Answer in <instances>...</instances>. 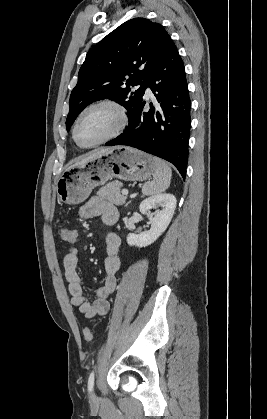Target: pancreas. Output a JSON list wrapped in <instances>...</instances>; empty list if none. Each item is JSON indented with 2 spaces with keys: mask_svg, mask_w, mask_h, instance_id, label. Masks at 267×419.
<instances>
[{
  "mask_svg": "<svg viewBox=\"0 0 267 419\" xmlns=\"http://www.w3.org/2000/svg\"><path fill=\"white\" fill-rule=\"evenodd\" d=\"M121 183L119 181H112L101 187L97 191V195L101 198L107 199L111 203L121 206L126 202V196L121 194Z\"/></svg>",
  "mask_w": 267,
  "mask_h": 419,
  "instance_id": "pancreas-1",
  "label": "pancreas"
}]
</instances>
